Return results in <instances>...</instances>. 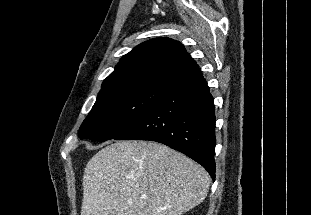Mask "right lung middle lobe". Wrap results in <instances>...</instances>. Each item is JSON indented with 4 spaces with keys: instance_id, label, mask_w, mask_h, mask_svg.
I'll return each mask as SVG.
<instances>
[{
    "instance_id": "1",
    "label": "right lung middle lobe",
    "mask_w": 311,
    "mask_h": 215,
    "mask_svg": "<svg viewBox=\"0 0 311 215\" xmlns=\"http://www.w3.org/2000/svg\"><path fill=\"white\" fill-rule=\"evenodd\" d=\"M170 84H125L101 90L79 129L80 139L106 141L131 128L161 99Z\"/></svg>"
}]
</instances>
